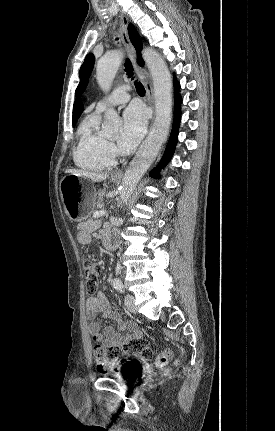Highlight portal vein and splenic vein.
Returning a JSON list of instances; mask_svg holds the SVG:
<instances>
[{
	"label": "portal vein and splenic vein",
	"mask_w": 275,
	"mask_h": 431,
	"mask_svg": "<svg viewBox=\"0 0 275 431\" xmlns=\"http://www.w3.org/2000/svg\"><path fill=\"white\" fill-rule=\"evenodd\" d=\"M105 214H106V211L99 210V211H96V212L93 213V217L94 218H98V217L104 216Z\"/></svg>",
	"instance_id": "portal-vein-and-splenic-vein-1"
}]
</instances>
